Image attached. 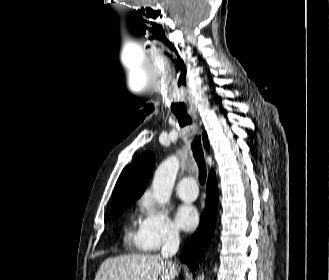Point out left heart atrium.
<instances>
[{"instance_id":"1","label":"left heart atrium","mask_w":329,"mask_h":280,"mask_svg":"<svg viewBox=\"0 0 329 280\" xmlns=\"http://www.w3.org/2000/svg\"><path fill=\"white\" fill-rule=\"evenodd\" d=\"M176 221L183 230H193L199 221L196 208L190 204L180 205L176 211Z\"/></svg>"}]
</instances>
